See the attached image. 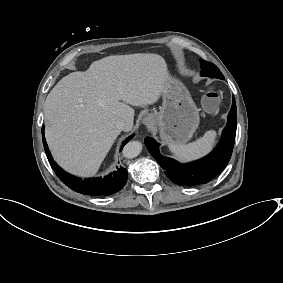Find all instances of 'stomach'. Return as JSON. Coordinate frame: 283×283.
<instances>
[{
    "instance_id": "0dacf381",
    "label": "stomach",
    "mask_w": 283,
    "mask_h": 283,
    "mask_svg": "<svg viewBox=\"0 0 283 283\" xmlns=\"http://www.w3.org/2000/svg\"><path fill=\"white\" fill-rule=\"evenodd\" d=\"M155 123L161 130V138L166 143L185 142L198 126L199 114L189 92L178 81L171 79L163 93V106L158 114H153Z\"/></svg>"
}]
</instances>
